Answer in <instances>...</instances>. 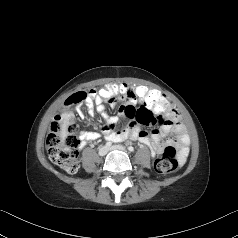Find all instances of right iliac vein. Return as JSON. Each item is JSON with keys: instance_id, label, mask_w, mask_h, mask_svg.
I'll use <instances>...</instances> for the list:
<instances>
[{"instance_id": "63e3f726", "label": "right iliac vein", "mask_w": 238, "mask_h": 238, "mask_svg": "<svg viewBox=\"0 0 238 238\" xmlns=\"http://www.w3.org/2000/svg\"><path fill=\"white\" fill-rule=\"evenodd\" d=\"M108 152V148L106 146H101L98 150L99 156H105Z\"/></svg>"}]
</instances>
